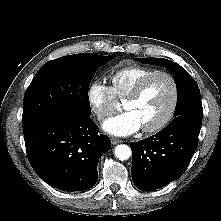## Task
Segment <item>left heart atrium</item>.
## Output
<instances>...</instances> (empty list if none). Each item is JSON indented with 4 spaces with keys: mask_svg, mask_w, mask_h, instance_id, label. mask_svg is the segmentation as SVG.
I'll return each instance as SVG.
<instances>
[{
    "mask_svg": "<svg viewBox=\"0 0 221 221\" xmlns=\"http://www.w3.org/2000/svg\"><path fill=\"white\" fill-rule=\"evenodd\" d=\"M140 128V121L131 111L112 116L103 124L104 131L110 135L118 137L131 135L137 132Z\"/></svg>",
    "mask_w": 221,
    "mask_h": 221,
    "instance_id": "left-heart-atrium-1",
    "label": "left heart atrium"
}]
</instances>
